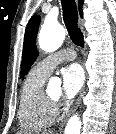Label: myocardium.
I'll list each match as a JSON object with an SVG mask.
<instances>
[{"instance_id": "myocardium-1", "label": "myocardium", "mask_w": 116, "mask_h": 134, "mask_svg": "<svg viewBox=\"0 0 116 134\" xmlns=\"http://www.w3.org/2000/svg\"><path fill=\"white\" fill-rule=\"evenodd\" d=\"M46 97L47 99L49 100V102L52 104V105H56L57 102H58V99H55V98H52L50 95L46 94Z\"/></svg>"}]
</instances>
